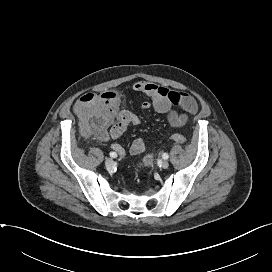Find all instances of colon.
Instances as JSON below:
<instances>
[{
    "label": "colon",
    "instance_id": "obj_1",
    "mask_svg": "<svg viewBox=\"0 0 272 272\" xmlns=\"http://www.w3.org/2000/svg\"><path fill=\"white\" fill-rule=\"evenodd\" d=\"M74 110L81 119L83 128L89 133L102 134L110 123H117L120 120V114L116 112V94L113 92L86 93L77 100ZM171 140L183 144L186 142V137L173 134ZM151 162V156L144 158L146 165Z\"/></svg>",
    "mask_w": 272,
    "mask_h": 272
}]
</instances>
